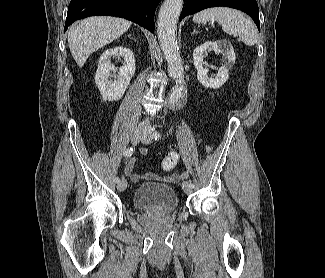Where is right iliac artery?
Returning a JSON list of instances; mask_svg holds the SVG:
<instances>
[{
    "instance_id": "obj_1",
    "label": "right iliac artery",
    "mask_w": 325,
    "mask_h": 278,
    "mask_svg": "<svg viewBox=\"0 0 325 278\" xmlns=\"http://www.w3.org/2000/svg\"><path fill=\"white\" fill-rule=\"evenodd\" d=\"M133 152H134V149L132 147H130V148H128V149H126L124 151V156L125 157H130L133 154ZM115 182L116 183H119L120 182V178H118V177L115 178Z\"/></svg>"
}]
</instances>
